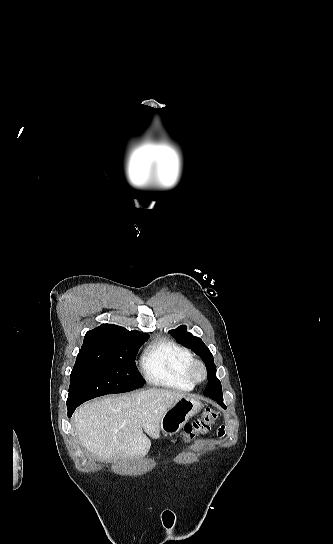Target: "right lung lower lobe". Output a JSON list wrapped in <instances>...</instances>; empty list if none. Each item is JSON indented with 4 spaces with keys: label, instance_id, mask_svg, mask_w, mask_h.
Segmentation results:
<instances>
[{
    "label": "right lung lower lobe",
    "instance_id": "right-lung-lower-lobe-1",
    "mask_svg": "<svg viewBox=\"0 0 333 544\" xmlns=\"http://www.w3.org/2000/svg\"><path fill=\"white\" fill-rule=\"evenodd\" d=\"M79 405L76 404V405H68L67 408H68V417H71L73 412L75 411V409L78 407Z\"/></svg>",
    "mask_w": 333,
    "mask_h": 544
}]
</instances>
